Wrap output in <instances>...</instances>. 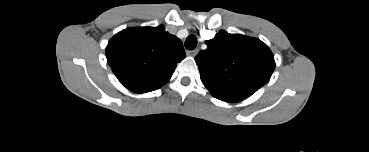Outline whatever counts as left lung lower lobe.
<instances>
[{
	"label": "left lung lower lobe",
	"instance_id": "1",
	"mask_svg": "<svg viewBox=\"0 0 369 152\" xmlns=\"http://www.w3.org/2000/svg\"><path fill=\"white\" fill-rule=\"evenodd\" d=\"M218 99L226 102H238L236 99L226 98V97H219Z\"/></svg>",
	"mask_w": 369,
	"mask_h": 152
}]
</instances>
